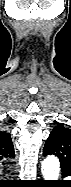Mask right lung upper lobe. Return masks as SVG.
<instances>
[{
	"label": "right lung upper lobe",
	"mask_w": 71,
	"mask_h": 187,
	"mask_svg": "<svg viewBox=\"0 0 71 187\" xmlns=\"http://www.w3.org/2000/svg\"><path fill=\"white\" fill-rule=\"evenodd\" d=\"M0 156L3 159L15 157L11 136L7 132L0 131Z\"/></svg>",
	"instance_id": "obj_1"
}]
</instances>
